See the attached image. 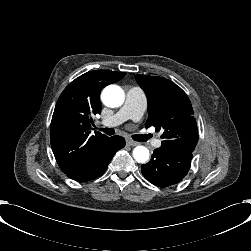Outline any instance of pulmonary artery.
I'll use <instances>...</instances> for the list:
<instances>
[{
	"mask_svg": "<svg viewBox=\"0 0 251 251\" xmlns=\"http://www.w3.org/2000/svg\"><path fill=\"white\" fill-rule=\"evenodd\" d=\"M146 107L147 99L145 95L136 88H129L126 91L123 106L112 116L101 120L99 124L103 127H116L129 119L139 121L143 117ZM149 144L160 147L161 140L159 138H150Z\"/></svg>",
	"mask_w": 251,
	"mask_h": 251,
	"instance_id": "pulmonary-artery-1",
	"label": "pulmonary artery"
}]
</instances>
